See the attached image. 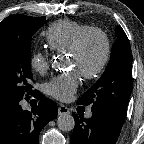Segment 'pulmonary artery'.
I'll list each match as a JSON object with an SVG mask.
<instances>
[{"instance_id":"e3ab8cb5","label":"pulmonary artery","mask_w":144,"mask_h":144,"mask_svg":"<svg viewBox=\"0 0 144 144\" xmlns=\"http://www.w3.org/2000/svg\"><path fill=\"white\" fill-rule=\"evenodd\" d=\"M91 116H92V113L91 112H87L86 117L90 118Z\"/></svg>"}]
</instances>
